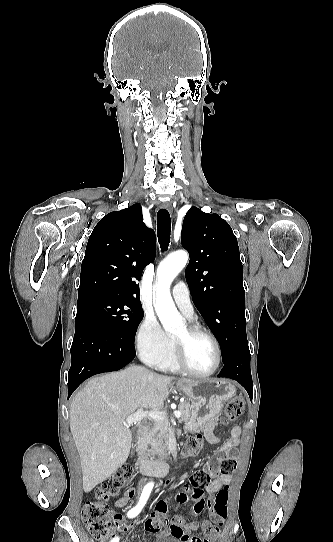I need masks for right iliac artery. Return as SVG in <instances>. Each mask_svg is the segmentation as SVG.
I'll return each instance as SVG.
<instances>
[{"mask_svg": "<svg viewBox=\"0 0 333 542\" xmlns=\"http://www.w3.org/2000/svg\"><path fill=\"white\" fill-rule=\"evenodd\" d=\"M152 488H153L152 483L147 484L144 487L138 504L127 513V516L129 518H133V517L137 516L140 513V511L142 510V508L146 504L147 499L149 498V495H150V493L152 491ZM111 542H119V538L115 537V538H113V540Z\"/></svg>", "mask_w": 333, "mask_h": 542, "instance_id": "obj_1", "label": "right iliac artery"}]
</instances>
